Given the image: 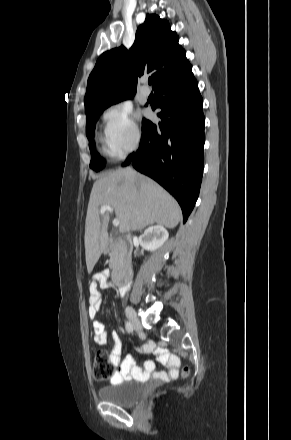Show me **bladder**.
Listing matches in <instances>:
<instances>
[{"label":"bladder","instance_id":"1","mask_svg":"<svg viewBox=\"0 0 291 440\" xmlns=\"http://www.w3.org/2000/svg\"><path fill=\"white\" fill-rule=\"evenodd\" d=\"M141 382L124 380L122 382L102 387L98 390V396L105 402L119 406H132L142 396Z\"/></svg>","mask_w":291,"mask_h":440}]
</instances>
